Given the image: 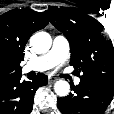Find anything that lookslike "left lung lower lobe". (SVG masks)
<instances>
[{
	"label": "left lung lower lobe",
	"mask_w": 114,
	"mask_h": 114,
	"mask_svg": "<svg viewBox=\"0 0 114 114\" xmlns=\"http://www.w3.org/2000/svg\"><path fill=\"white\" fill-rule=\"evenodd\" d=\"M72 90L73 94L57 99L63 114H102L114 95V86L92 80L81 79Z\"/></svg>",
	"instance_id": "1"
}]
</instances>
